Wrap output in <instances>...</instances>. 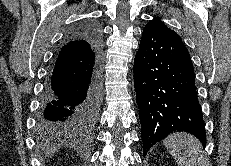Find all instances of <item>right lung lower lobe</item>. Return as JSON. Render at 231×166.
<instances>
[{
    "label": "right lung lower lobe",
    "instance_id": "98d812e1",
    "mask_svg": "<svg viewBox=\"0 0 231 166\" xmlns=\"http://www.w3.org/2000/svg\"><path fill=\"white\" fill-rule=\"evenodd\" d=\"M101 101V34L94 22L66 37L51 65L37 124L44 135L75 136L96 122Z\"/></svg>",
    "mask_w": 231,
    "mask_h": 166
}]
</instances>
